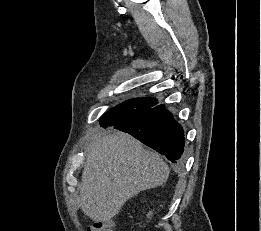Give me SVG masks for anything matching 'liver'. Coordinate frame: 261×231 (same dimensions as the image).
Instances as JSON below:
<instances>
[{
    "mask_svg": "<svg viewBox=\"0 0 261 231\" xmlns=\"http://www.w3.org/2000/svg\"><path fill=\"white\" fill-rule=\"evenodd\" d=\"M169 167L159 154L124 132L93 137L79 186L82 211L95 222H108L140 191L162 185Z\"/></svg>",
    "mask_w": 261,
    "mask_h": 231,
    "instance_id": "6515ba94",
    "label": "liver"
}]
</instances>
